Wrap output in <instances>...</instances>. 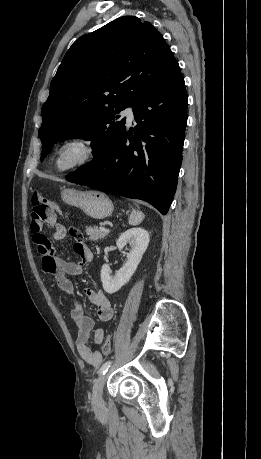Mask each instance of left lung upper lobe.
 Instances as JSON below:
<instances>
[{
  "label": "left lung upper lobe",
  "instance_id": "left-lung-upper-lobe-1",
  "mask_svg": "<svg viewBox=\"0 0 261 459\" xmlns=\"http://www.w3.org/2000/svg\"><path fill=\"white\" fill-rule=\"evenodd\" d=\"M176 62L162 35L149 22L123 16L77 39L65 54L42 106L39 137L46 157L65 138L91 139L101 162L125 131L122 110L133 107Z\"/></svg>",
  "mask_w": 261,
  "mask_h": 459
}]
</instances>
